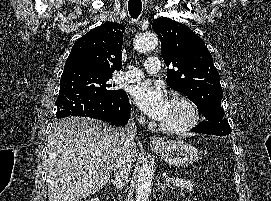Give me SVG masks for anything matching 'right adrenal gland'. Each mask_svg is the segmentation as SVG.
<instances>
[{
  "mask_svg": "<svg viewBox=\"0 0 271 201\" xmlns=\"http://www.w3.org/2000/svg\"><path fill=\"white\" fill-rule=\"evenodd\" d=\"M111 182H112L113 184H115L114 180H111Z\"/></svg>",
  "mask_w": 271,
  "mask_h": 201,
  "instance_id": "right-adrenal-gland-1",
  "label": "right adrenal gland"
}]
</instances>
